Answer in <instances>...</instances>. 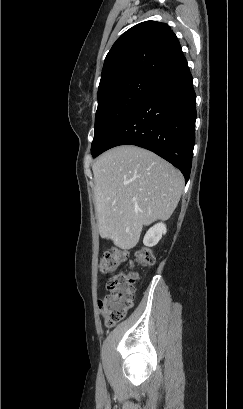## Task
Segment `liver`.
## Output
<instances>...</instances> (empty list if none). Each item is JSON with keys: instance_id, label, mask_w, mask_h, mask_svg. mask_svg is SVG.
Returning <instances> with one entry per match:
<instances>
[{"instance_id": "liver-1", "label": "liver", "mask_w": 243, "mask_h": 409, "mask_svg": "<svg viewBox=\"0 0 243 409\" xmlns=\"http://www.w3.org/2000/svg\"><path fill=\"white\" fill-rule=\"evenodd\" d=\"M92 170L99 234L124 250L138 244L143 226L172 215L184 187L178 169L134 145L106 151Z\"/></svg>"}]
</instances>
